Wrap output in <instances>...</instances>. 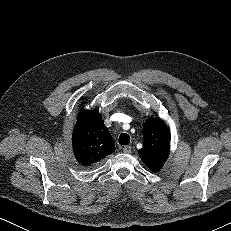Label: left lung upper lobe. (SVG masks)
<instances>
[{"instance_id": "left-lung-upper-lobe-1", "label": "left lung upper lobe", "mask_w": 231, "mask_h": 231, "mask_svg": "<svg viewBox=\"0 0 231 231\" xmlns=\"http://www.w3.org/2000/svg\"><path fill=\"white\" fill-rule=\"evenodd\" d=\"M143 148L139 156L152 171L162 168L170 151V131L159 118H148L143 126Z\"/></svg>"}]
</instances>
